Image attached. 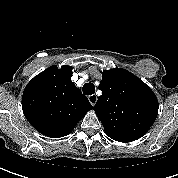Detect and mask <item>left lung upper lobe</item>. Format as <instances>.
Instances as JSON below:
<instances>
[{
    "label": "left lung upper lobe",
    "mask_w": 178,
    "mask_h": 178,
    "mask_svg": "<svg viewBox=\"0 0 178 178\" xmlns=\"http://www.w3.org/2000/svg\"><path fill=\"white\" fill-rule=\"evenodd\" d=\"M102 76L98 86L102 95L94 110L107 135L119 142L139 139L158 114L154 92L125 69L105 70Z\"/></svg>",
    "instance_id": "obj_1"
}]
</instances>
